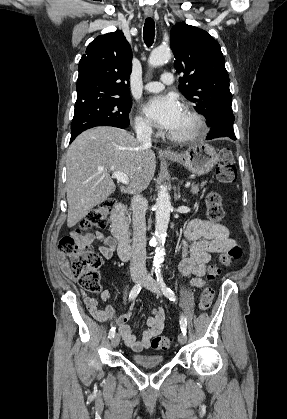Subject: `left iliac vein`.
Returning a JSON list of instances; mask_svg holds the SVG:
<instances>
[{
    "label": "left iliac vein",
    "instance_id": "left-iliac-vein-1",
    "mask_svg": "<svg viewBox=\"0 0 287 419\" xmlns=\"http://www.w3.org/2000/svg\"><path fill=\"white\" fill-rule=\"evenodd\" d=\"M143 286L146 287L151 292L155 293L156 295H161L159 284L153 278H148L147 281L143 284ZM186 340H187L186 334L181 333L178 336V341L180 344H185Z\"/></svg>",
    "mask_w": 287,
    "mask_h": 419
}]
</instances>
